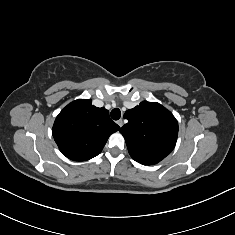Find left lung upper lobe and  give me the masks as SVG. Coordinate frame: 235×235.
Masks as SVG:
<instances>
[{
	"mask_svg": "<svg viewBox=\"0 0 235 235\" xmlns=\"http://www.w3.org/2000/svg\"><path fill=\"white\" fill-rule=\"evenodd\" d=\"M128 120L120 133L131 157L143 164L154 165L174 149L178 123L173 114L159 103L143 101L125 112Z\"/></svg>",
	"mask_w": 235,
	"mask_h": 235,
	"instance_id": "5c2ea615",
	"label": "left lung upper lobe"
}]
</instances>
